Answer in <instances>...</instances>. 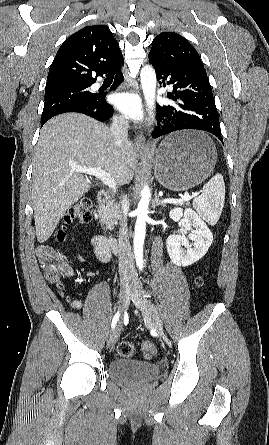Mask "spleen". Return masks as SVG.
<instances>
[{"label":"spleen","instance_id":"obj_1","mask_svg":"<svg viewBox=\"0 0 269 445\" xmlns=\"http://www.w3.org/2000/svg\"><path fill=\"white\" fill-rule=\"evenodd\" d=\"M225 201V183L220 173L215 174L204 186L200 196L193 200L197 213L210 225H216Z\"/></svg>","mask_w":269,"mask_h":445}]
</instances>
